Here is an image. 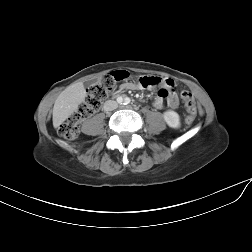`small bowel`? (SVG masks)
<instances>
[{
	"label": "small bowel",
	"mask_w": 252,
	"mask_h": 252,
	"mask_svg": "<svg viewBox=\"0 0 252 252\" xmlns=\"http://www.w3.org/2000/svg\"><path fill=\"white\" fill-rule=\"evenodd\" d=\"M148 78L155 84L151 87H159L158 95L154 101L156 108L169 106L175 108L178 104L177 96L175 93V82L171 78H160L148 76ZM144 88L139 82H129L124 85L126 90H139Z\"/></svg>",
	"instance_id": "c3829d8e"
}]
</instances>
